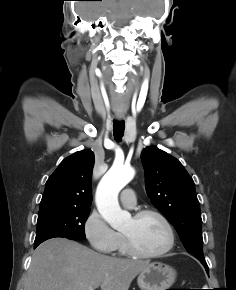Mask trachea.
<instances>
[{"label": "trachea", "instance_id": "3493384b", "mask_svg": "<svg viewBox=\"0 0 236 290\" xmlns=\"http://www.w3.org/2000/svg\"><path fill=\"white\" fill-rule=\"evenodd\" d=\"M125 129L124 121H114L113 122V135L116 141L120 142Z\"/></svg>", "mask_w": 236, "mask_h": 290}]
</instances>
